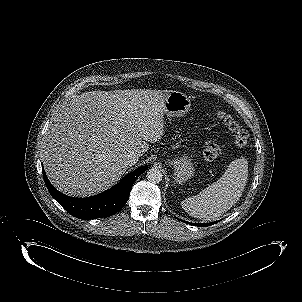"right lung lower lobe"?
Segmentation results:
<instances>
[{
    "instance_id": "right-lung-lower-lobe-1",
    "label": "right lung lower lobe",
    "mask_w": 302,
    "mask_h": 302,
    "mask_svg": "<svg viewBox=\"0 0 302 302\" xmlns=\"http://www.w3.org/2000/svg\"><path fill=\"white\" fill-rule=\"evenodd\" d=\"M147 169L148 166L140 167L124 177L114 187L101 194L87 198H74L55 189L48 180L42 166L44 181L51 196L72 216L84 220L108 217L122 209L129 199L133 183Z\"/></svg>"
}]
</instances>
